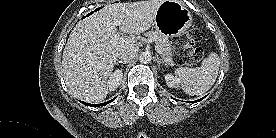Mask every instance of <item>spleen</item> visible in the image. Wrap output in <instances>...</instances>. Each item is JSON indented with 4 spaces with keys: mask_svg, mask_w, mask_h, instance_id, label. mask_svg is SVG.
Listing matches in <instances>:
<instances>
[{
    "mask_svg": "<svg viewBox=\"0 0 276 138\" xmlns=\"http://www.w3.org/2000/svg\"><path fill=\"white\" fill-rule=\"evenodd\" d=\"M220 67V58L217 53L211 52L202 62L201 67H180L175 70L178 80L185 93L194 96L208 91L216 81Z\"/></svg>",
    "mask_w": 276,
    "mask_h": 138,
    "instance_id": "1",
    "label": "spleen"
}]
</instances>
